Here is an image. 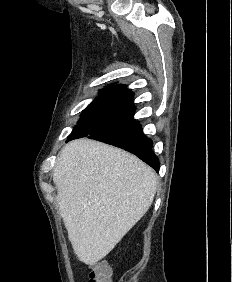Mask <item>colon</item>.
<instances>
[{
    "mask_svg": "<svg viewBox=\"0 0 232 282\" xmlns=\"http://www.w3.org/2000/svg\"><path fill=\"white\" fill-rule=\"evenodd\" d=\"M87 282H111V271L107 263L96 264L89 272Z\"/></svg>",
    "mask_w": 232,
    "mask_h": 282,
    "instance_id": "obj_1",
    "label": "colon"
}]
</instances>
